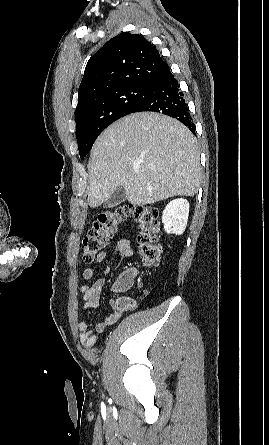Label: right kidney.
<instances>
[{
  "mask_svg": "<svg viewBox=\"0 0 269 445\" xmlns=\"http://www.w3.org/2000/svg\"><path fill=\"white\" fill-rule=\"evenodd\" d=\"M189 216V202L186 199L172 200L164 209L162 222L168 234L181 235L185 231Z\"/></svg>",
  "mask_w": 269,
  "mask_h": 445,
  "instance_id": "right-kidney-1",
  "label": "right kidney"
}]
</instances>
